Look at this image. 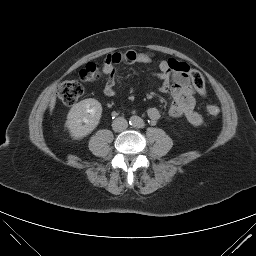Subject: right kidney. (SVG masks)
<instances>
[{"instance_id": "1", "label": "right kidney", "mask_w": 256, "mask_h": 256, "mask_svg": "<svg viewBox=\"0 0 256 256\" xmlns=\"http://www.w3.org/2000/svg\"><path fill=\"white\" fill-rule=\"evenodd\" d=\"M102 114L101 104L92 98L76 103L67 115L66 127L73 139L89 135L99 124Z\"/></svg>"}]
</instances>
